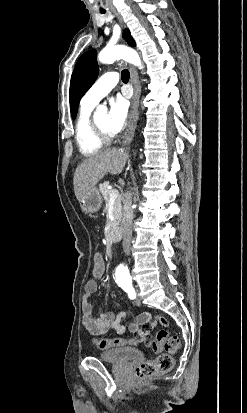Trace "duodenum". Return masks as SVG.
Wrapping results in <instances>:
<instances>
[{
    "label": "duodenum",
    "mask_w": 247,
    "mask_h": 413,
    "mask_svg": "<svg viewBox=\"0 0 247 413\" xmlns=\"http://www.w3.org/2000/svg\"><path fill=\"white\" fill-rule=\"evenodd\" d=\"M118 235H119V230L117 226H111L108 235H107V240L110 244H115L118 240Z\"/></svg>",
    "instance_id": "410a0bca"
}]
</instances>
